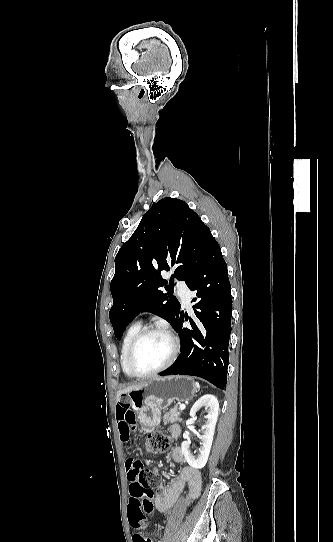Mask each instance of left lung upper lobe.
Returning <instances> with one entry per match:
<instances>
[{"mask_svg": "<svg viewBox=\"0 0 333 542\" xmlns=\"http://www.w3.org/2000/svg\"><path fill=\"white\" fill-rule=\"evenodd\" d=\"M212 238L210 229L182 200L165 197L147 211L115 257L109 317L117 339L142 311L175 327L180 303L172 296L174 278L186 282L196 272ZM170 266L176 269L168 282L161 271Z\"/></svg>", "mask_w": 333, "mask_h": 542, "instance_id": "left-lung-upper-lobe-1", "label": "left lung upper lobe"}]
</instances>
